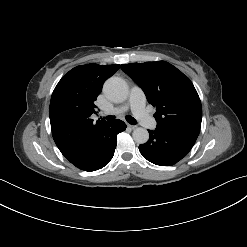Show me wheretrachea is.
Masks as SVG:
<instances>
[{
	"mask_svg": "<svg viewBox=\"0 0 247 247\" xmlns=\"http://www.w3.org/2000/svg\"><path fill=\"white\" fill-rule=\"evenodd\" d=\"M105 119L110 122L115 119V116L110 115V116L105 117ZM126 120L128 123L132 125L136 124V120L132 116H126Z\"/></svg>",
	"mask_w": 247,
	"mask_h": 247,
	"instance_id": "1",
	"label": "trachea"
}]
</instances>
